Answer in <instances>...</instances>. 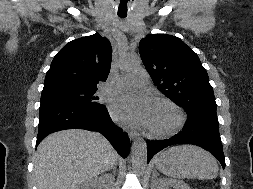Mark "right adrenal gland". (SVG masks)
<instances>
[{"mask_svg":"<svg viewBox=\"0 0 253 189\" xmlns=\"http://www.w3.org/2000/svg\"><path fill=\"white\" fill-rule=\"evenodd\" d=\"M111 169L113 170V174L115 175L116 174V166H113ZM111 169H109V170H111Z\"/></svg>","mask_w":253,"mask_h":189,"instance_id":"right-adrenal-gland-1","label":"right adrenal gland"}]
</instances>
